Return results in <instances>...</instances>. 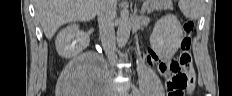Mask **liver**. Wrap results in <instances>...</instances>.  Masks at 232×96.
<instances>
[{
    "label": "liver",
    "mask_w": 232,
    "mask_h": 96,
    "mask_svg": "<svg viewBox=\"0 0 232 96\" xmlns=\"http://www.w3.org/2000/svg\"><path fill=\"white\" fill-rule=\"evenodd\" d=\"M100 0H34L36 16L47 39L70 21H90L97 15Z\"/></svg>",
    "instance_id": "6515ba94"
}]
</instances>
